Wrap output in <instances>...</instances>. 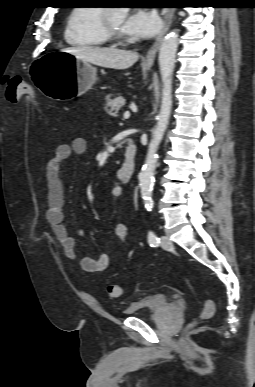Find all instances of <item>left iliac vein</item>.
<instances>
[{
	"instance_id": "left-iliac-vein-1",
	"label": "left iliac vein",
	"mask_w": 255,
	"mask_h": 387,
	"mask_svg": "<svg viewBox=\"0 0 255 387\" xmlns=\"http://www.w3.org/2000/svg\"><path fill=\"white\" fill-rule=\"evenodd\" d=\"M160 245L162 248L167 249V250L171 249L173 247L172 241L169 239L168 236H165V235L161 236Z\"/></svg>"
}]
</instances>
